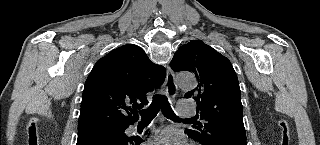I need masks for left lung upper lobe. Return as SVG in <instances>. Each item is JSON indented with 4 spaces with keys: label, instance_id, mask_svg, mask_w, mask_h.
Returning a JSON list of instances; mask_svg holds the SVG:
<instances>
[{
    "label": "left lung upper lobe",
    "instance_id": "left-lung-upper-lobe-1",
    "mask_svg": "<svg viewBox=\"0 0 320 145\" xmlns=\"http://www.w3.org/2000/svg\"><path fill=\"white\" fill-rule=\"evenodd\" d=\"M170 66L192 72L198 80L185 97L197 102L204 123L187 129L189 137L202 145H216L225 136L246 139L239 82L228 58L202 41L191 40L175 52Z\"/></svg>",
    "mask_w": 320,
    "mask_h": 145
}]
</instances>
